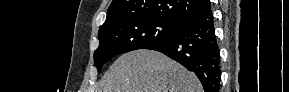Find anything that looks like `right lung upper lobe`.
I'll list each match as a JSON object with an SVG mask.
<instances>
[{
	"label": "right lung upper lobe",
	"mask_w": 289,
	"mask_h": 92,
	"mask_svg": "<svg viewBox=\"0 0 289 92\" xmlns=\"http://www.w3.org/2000/svg\"><path fill=\"white\" fill-rule=\"evenodd\" d=\"M210 9L209 0H113L100 29L123 20L146 17L182 23Z\"/></svg>",
	"instance_id": "1"
}]
</instances>
